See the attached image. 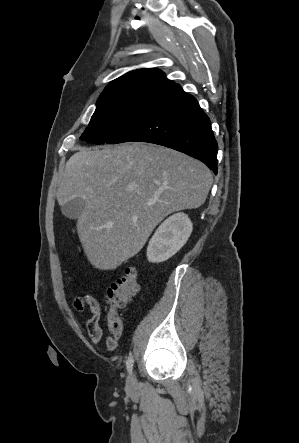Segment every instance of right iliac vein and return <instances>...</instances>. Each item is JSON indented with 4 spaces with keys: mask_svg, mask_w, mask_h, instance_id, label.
I'll list each match as a JSON object with an SVG mask.
<instances>
[{
    "mask_svg": "<svg viewBox=\"0 0 299 443\" xmlns=\"http://www.w3.org/2000/svg\"><path fill=\"white\" fill-rule=\"evenodd\" d=\"M127 387L130 389V390H133V389H135L136 388V385H137V381H136V377H135V374L134 373H131L128 377H127Z\"/></svg>",
    "mask_w": 299,
    "mask_h": 443,
    "instance_id": "right-iliac-vein-1",
    "label": "right iliac vein"
}]
</instances>
